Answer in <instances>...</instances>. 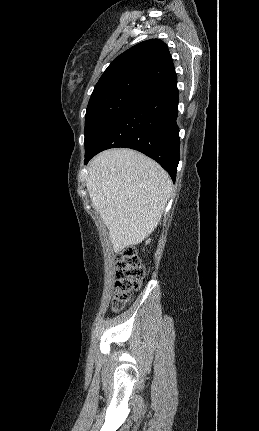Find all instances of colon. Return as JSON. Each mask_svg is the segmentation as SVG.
Returning <instances> with one entry per match:
<instances>
[{
  "label": "colon",
  "instance_id": "obj_1",
  "mask_svg": "<svg viewBox=\"0 0 259 431\" xmlns=\"http://www.w3.org/2000/svg\"><path fill=\"white\" fill-rule=\"evenodd\" d=\"M115 267L112 310L118 312L131 301L133 292L140 287L145 277V269L133 247L125 248L117 255Z\"/></svg>",
  "mask_w": 259,
  "mask_h": 431
}]
</instances>
